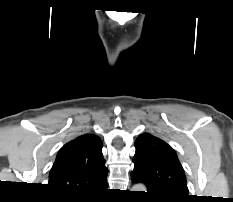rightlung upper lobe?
I'll list each match as a JSON object with an SVG mask.
<instances>
[{
	"mask_svg": "<svg viewBox=\"0 0 233 202\" xmlns=\"http://www.w3.org/2000/svg\"><path fill=\"white\" fill-rule=\"evenodd\" d=\"M101 149V140L92 134L65 144L52 166L48 186L72 197H88L105 190L108 170Z\"/></svg>",
	"mask_w": 233,
	"mask_h": 202,
	"instance_id": "right-lung-upper-lobe-1",
	"label": "right lung upper lobe"
}]
</instances>
